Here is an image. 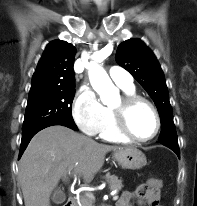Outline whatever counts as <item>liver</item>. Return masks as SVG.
I'll list each match as a JSON object with an SVG mask.
<instances>
[{"label":"liver","instance_id":"6515ba94","mask_svg":"<svg viewBox=\"0 0 197 206\" xmlns=\"http://www.w3.org/2000/svg\"><path fill=\"white\" fill-rule=\"evenodd\" d=\"M123 148L97 143L64 126L37 133L19 162L18 178L25 206H50V195L61 177L72 173L93 180L106 153Z\"/></svg>","mask_w":197,"mask_h":206}]
</instances>
